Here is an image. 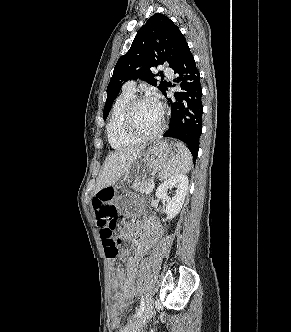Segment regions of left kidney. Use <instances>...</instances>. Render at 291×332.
<instances>
[{
    "label": "left kidney",
    "mask_w": 291,
    "mask_h": 332,
    "mask_svg": "<svg viewBox=\"0 0 291 332\" xmlns=\"http://www.w3.org/2000/svg\"><path fill=\"white\" fill-rule=\"evenodd\" d=\"M172 189H174V193L170 197L167 195V191ZM187 192L188 177L185 175L172 177L159 185L155 195L166 203V220L173 219L180 212Z\"/></svg>",
    "instance_id": "obj_1"
}]
</instances>
